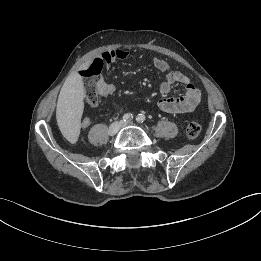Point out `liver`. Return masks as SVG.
Instances as JSON below:
<instances>
[{
    "label": "liver",
    "mask_w": 261,
    "mask_h": 261,
    "mask_svg": "<svg viewBox=\"0 0 261 261\" xmlns=\"http://www.w3.org/2000/svg\"><path fill=\"white\" fill-rule=\"evenodd\" d=\"M89 63L81 68L86 69ZM84 85L77 71L72 72L66 79L58 96L56 118L60 129L64 132H77L84 108Z\"/></svg>",
    "instance_id": "6515ba94"
}]
</instances>
